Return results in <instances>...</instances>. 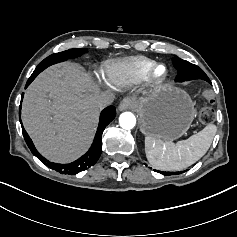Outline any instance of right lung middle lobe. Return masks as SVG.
Listing matches in <instances>:
<instances>
[{
	"label": "right lung middle lobe",
	"instance_id": "dd1d6c3e",
	"mask_svg": "<svg viewBox=\"0 0 237 237\" xmlns=\"http://www.w3.org/2000/svg\"><path fill=\"white\" fill-rule=\"evenodd\" d=\"M84 52H86V49L79 48V49H69L60 53L52 54L39 63V65L34 70L33 75L37 76L40 72H42L44 69H46L50 65L63 62L67 60L68 58L79 57Z\"/></svg>",
	"mask_w": 237,
	"mask_h": 237
}]
</instances>
